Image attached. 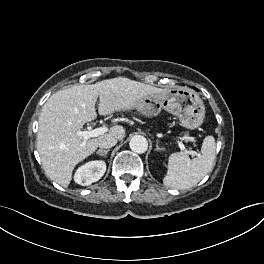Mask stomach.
<instances>
[{"instance_id":"0dacf381","label":"stomach","mask_w":264,"mask_h":264,"mask_svg":"<svg viewBox=\"0 0 264 264\" xmlns=\"http://www.w3.org/2000/svg\"><path fill=\"white\" fill-rule=\"evenodd\" d=\"M145 116H156L162 109L177 116L187 129L199 127L204 120L205 106L199 95L190 89L177 87L162 95H150L136 103Z\"/></svg>"}]
</instances>
